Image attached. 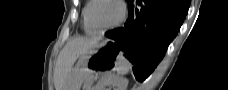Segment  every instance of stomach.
<instances>
[{
    "label": "stomach",
    "mask_w": 228,
    "mask_h": 90,
    "mask_svg": "<svg viewBox=\"0 0 228 90\" xmlns=\"http://www.w3.org/2000/svg\"><path fill=\"white\" fill-rule=\"evenodd\" d=\"M121 53L114 42L104 40L83 54L71 70L64 90H80L83 82L93 73L107 68H116Z\"/></svg>",
    "instance_id": "1"
}]
</instances>
